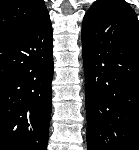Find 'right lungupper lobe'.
<instances>
[{
  "label": "right lung upper lobe",
  "mask_w": 139,
  "mask_h": 150,
  "mask_svg": "<svg viewBox=\"0 0 139 150\" xmlns=\"http://www.w3.org/2000/svg\"><path fill=\"white\" fill-rule=\"evenodd\" d=\"M47 12L44 0H0V39L31 27Z\"/></svg>",
  "instance_id": "right-lung-upper-lobe-1"
}]
</instances>
